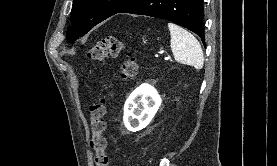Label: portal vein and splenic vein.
<instances>
[{"instance_id": "obj_1", "label": "portal vein and splenic vein", "mask_w": 277, "mask_h": 166, "mask_svg": "<svg viewBox=\"0 0 277 166\" xmlns=\"http://www.w3.org/2000/svg\"><path fill=\"white\" fill-rule=\"evenodd\" d=\"M155 57H156V58H158V57H159V55H155Z\"/></svg>"}]
</instances>
